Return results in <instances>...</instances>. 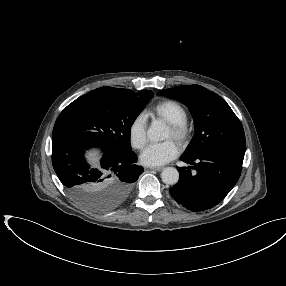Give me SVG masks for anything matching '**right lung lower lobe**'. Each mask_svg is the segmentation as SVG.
I'll return each instance as SVG.
<instances>
[{"instance_id":"1","label":"right lung lower lobe","mask_w":286,"mask_h":286,"mask_svg":"<svg viewBox=\"0 0 286 286\" xmlns=\"http://www.w3.org/2000/svg\"><path fill=\"white\" fill-rule=\"evenodd\" d=\"M93 146L104 151L98 169H91L84 159L85 150ZM136 161L137 155L131 149L107 148L82 139L60 123L54 125L53 168L61 183L82 204L95 202L109 209L120 205L144 171Z\"/></svg>"}]
</instances>
